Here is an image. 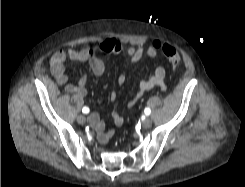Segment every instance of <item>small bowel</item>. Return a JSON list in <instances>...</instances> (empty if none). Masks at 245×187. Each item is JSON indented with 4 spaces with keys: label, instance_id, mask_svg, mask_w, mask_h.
<instances>
[{
    "label": "small bowel",
    "instance_id": "1",
    "mask_svg": "<svg viewBox=\"0 0 245 187\" xmlns=\"http://www.w3.org/2000/svg\"><path fill=\"white\" fill-rule=\"evenodd\" d=\"M162 44L164 43H161L160 41H153L147 46L140 45L138 47H129L126 50L128 64H133L143 57L156 56L158 53H161L159 47ZM121 51V44L114 38L104 39L97 47L83 49L68 48L65 50H57L51 56L50 70L55 81L60 86H62L65 92L74 94L79 98H83L87 93V75H82L75 84L68 83V76L65 72V63L67 61L86 62L89 64L92 73L95 76L100 77L105 73V64L102 59H100L99 53L113 54L120 53ZM165 75V69L162 66H157L149 77L143 79L139 83V89L137 93L127 102V107L132 108L147 91L155 88L161 91H166L167 85L165 83ZM126 80V74L121 73L118 76L117 83L119 86H123L126 83ZM110 98L112 100L116 98V93L114 91L110 93ZM110 115L116 126H121L123 124L124 117L121 113L116 110H112ZM89 121L96 131L98 141L100 143H106L111 136V132L105 131L104 123L100 117L97 114H92L89 118Z\"/></svg>",
    "mask_w": 245,
    "mask_h": 187
}]
</instances>
